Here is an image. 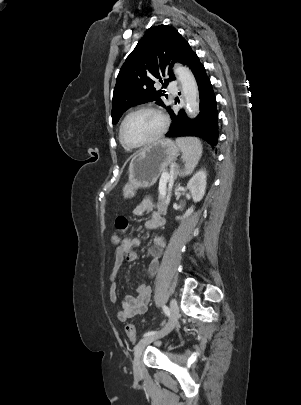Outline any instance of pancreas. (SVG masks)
<instances>
[{
  "instance_id": "cf45deb5",
  "label": "pancreas",
  "mask_w": 301,
  "mask_h": 405,
  "mask_svg": "<svg viewBox=\"0 0 301 405\" xmlns=\"http://www.w3.org/2000/svg\"><path fill=\"white\" fill-rule=\"evenodd\" d=\"M168 204H169V198L166 197L165 195L159 194L158 203L156 205L158 211L160 213H166Z\"/></svg>"
}]
</instances>
